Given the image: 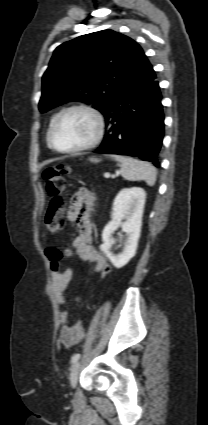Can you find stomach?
Returning <instances> with one entry per match:
<instances>
[{
	"mask_svg": "<svg viewBox=\"0 0 208 425\" xmlns=\"http://www.w3.org/2000/svg\"><path fill=\"white\" fill-rule=\"evenodd\" d=\"M90 161H92V162H98L99 160L96 159V158H90Z\"/></svg>",
	"mask_w": 208,
	"mask_h": 425,
	"instance_id": "0dacf381",
	"label": "stomach"
}]
</instances>
